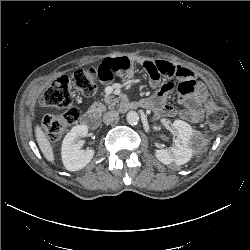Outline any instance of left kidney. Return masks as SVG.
I'll list each match as a JSON object with an SVG mask.
<instances>
[{
  "label": "left kidney",
  "mask_w": 250,
  "mask_h": 250,
  "mask_svg": "<svg viewBox=\"0 0 250 250\" xmlns=\"http://www.w3.org/2000/svg\"><path fill=\"white\" fill-rule=\"evenodd\" d=\"M173 128L177 131L174 146L171 149L156 150L155 156L165 165L180 166L192 158L195 133L191 126L182 120H175Z\"/></svg>",
  "instance_id": "1"
}]
</instances>
